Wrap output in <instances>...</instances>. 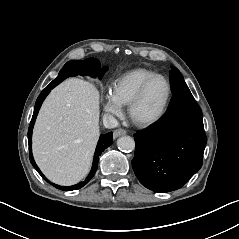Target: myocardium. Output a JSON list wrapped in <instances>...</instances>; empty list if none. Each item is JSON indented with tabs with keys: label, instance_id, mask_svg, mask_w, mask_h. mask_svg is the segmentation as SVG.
I'll list each match as a JSON object with an SVG mask.
<instances>
[{
	"label": "myocardium",
	"instance_id": "myocardium-1",
	"mask_svg": "<svg viewBox=\"0 0 239 239\" xmlns=\"http://www.w3.org/2000/svg\"><path fill=\"white\" fill-rule=\"evenodd\" d=\"M157 79L165 80L167 83V86H168V95H167L165 104H164L162 110L160 111V113L158 115H156L154 118H151V119L140 118L136 114V108H137L138 104L140 103V101L142 100V98H143L145 92L147 91V89L149 88V86ZM172 95H173V87H172L171 81L168 79V77H166L165 75H162V74H156V75L150 77L148 80H146L142 84V86L136 92V94L134 95V97L132 98L131 102L128 105V112H129V116H130L131 120L136 125L141 126V127H150V126H154V125L158 124L165 117V115L168 112V109L170 107L171 100H172Z\"/></svg>",
	"mask_w": 239,
	"mask_h": 239
}]
</instances>
